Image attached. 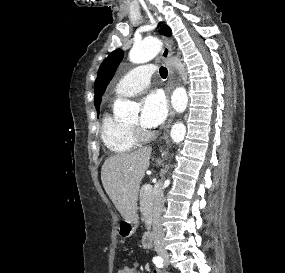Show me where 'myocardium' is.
I'll list each match as a JSON object with an SVG mask.
<instances>
[{
    "label": "myocardium",
    "instance_id": "obj_1",
    "mask_svg": "<svg viewBox=\"0 0 285 273\" xmlns=\"http://www.w3.org/2000/svg\"><path fill=\"white\" fill-rule=\"evenodd\" d=\"M133 137L137 141H148L153 137V133L141 129L138 125H127Z\"/></svg>",
    "mask_w": 285,
    "mask_h": 273
}]
</instances>
